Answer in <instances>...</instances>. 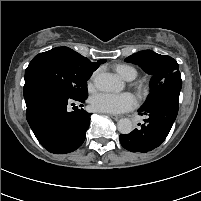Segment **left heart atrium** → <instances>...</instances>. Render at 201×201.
Instances as JSON below:
<instances>
[{"label": "left heart atrium", "instance_id": "1", "mask_svg": "<svg viewBox=\"0 0 201 201\" xmlns=\"http://www.w3.org/2000/svg\"><path fill=\"white\" fill-rule=\"evenodd\" d=\"M136 105L135 97L130 93H99L92 97L91 107L102 113L120 114Z\"/></svg>", "mask_w": 201, "mask_h": 201}]
</instances>
